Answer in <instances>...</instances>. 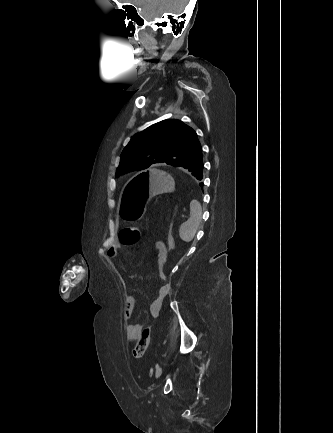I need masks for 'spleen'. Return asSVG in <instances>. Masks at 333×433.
Segmentation results:
<instances>
[{
    "instance_id": "obj_1",
    "label": "spleen",
    "mask_w": 333,
    "mask_h": 433,
    "mask_svg": "<svg viewBox=\"0 0 333 433\" xmlns=\"http://www.w3.org/2000/svg\"><path fill=\"white\" fill-rule=\"evenodd\" d=\"M190 207V218L184 222L179 229L180 238L185 242H190L193 240L199 228L202 217L201 206L197 201L191 202Z\"/></svg>"
}]
</instances>
